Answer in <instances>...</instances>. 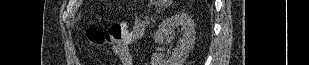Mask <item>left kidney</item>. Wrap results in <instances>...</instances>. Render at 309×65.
I'll return each instance as SVG.
<instances>
[{"instance_id": "obj_1", "label": "left kidney", "mask_w": 309, "mask_h": 65, "mask_svg": "<svg viewBox=\"0 0 309 65\" xmlns=\"http://www.w3.org/2000/svg\"><path fill=\"white\" fill-rule=\"evenodd\" d=\"M181 27L182 37L176 51L169 59H164L162 54L154 53L152 65H184L190 50L195 43L194 20L186 13H179L166 18L158 27L153 39L155 43L161 44L164 38L172 35L175 28Z\"/></svg>"}]
</instances>
